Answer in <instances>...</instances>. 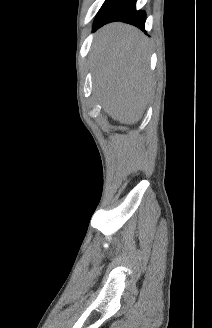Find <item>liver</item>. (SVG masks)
<instances>
[{"mask_svg": "<svg viewBox=\"0 0 212 328\" xmlns=\"http://www.w3.org/2000/svg\"><path fill=\"white\" fill-rule=\"evenodd\" d=\"M149 45L135 27L112 23L93 44V75L105 112L123 124L137 123L151 92Z\"/></svg>", "mask_w": 212, "mask_h": 328, "instance_id": "6515ba94", "label": "liver"}]
</instances>
